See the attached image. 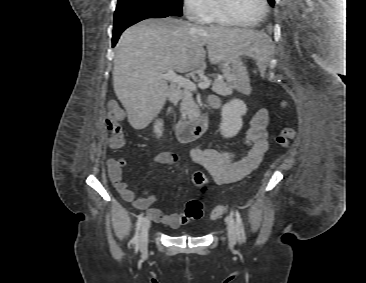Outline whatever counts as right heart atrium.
Listing matches in <instances>:
<instances>
[{"label":"right heart atrium","instance_id":"right-heart-atrium-1","mask_svg":"<svg viewBox=\"0 0 366 283\" xmlns=\"http://www.w3.org/2000/svg\"><path fill=\"white\" fill-rule=\"evenodd\" d=\"M182 2L187 16L194 20H201L210 6V0H183Z\"/></svg>","mask_w":366,"mask_h":283}]
</instances>
